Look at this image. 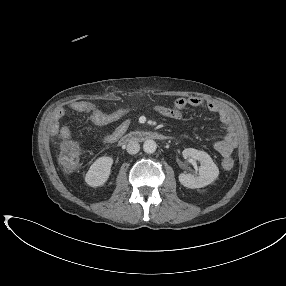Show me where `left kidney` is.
Masks as SVG:
<instances>
[{"mask_svg": "<svg viewBox=\"0 0 286 286\" xmlns=\"http://www.w3.org/2000/svg\"><path fill=\"white\" fill-rule=\"evenodd\" d=\"M182 155L185 159L191 158L200 162L199 173L197 176L181 173L179 175L180 183L187 188L195 189L209 185L217 179L219 169L213 162L210 155L204 151L193 148L184 149Z\"/></svg>", "mask_w": 286, "mask_h": 286, "instance_id": "5707ae66", "label": "left kidney"}]
</instances>
